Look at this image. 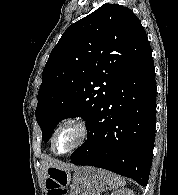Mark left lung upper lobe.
<instances>
[{
    "mask_svg": "<svg viewBox=\"0 0 178 195\" xmlns=\"http://www.w3.org/2000/svg\"><path fill=\"white\" fill-rule=\"evenodd\" d=\"M150 52L140 20L121 5L104 4L72 24L43 69L36 108L42 140L65 118L82 117L88 128L116 82Z\"/></svg>",
    "mask_w": 178,
    "mask_h": 195,
    "instance_id": "obj_1",
    "label": "left lung upper lobe"
}]
</instances>
